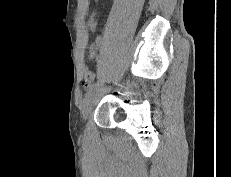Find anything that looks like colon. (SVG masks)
Listing matches in <instances>:
<instances>
[{"label":"colon","mask_w":231,"mask_h":177,"mask_svg":"<svg viewBox=\"0 0 231 177\" xmlns=\"http://www.w3.org/2000/svg\"><path fill=\"white\" fill-rule=\"evenodd\" d=\"M89 57H90V59H94L95 58V53L91 52Z\"/></svg>","instance_id":"obj_1"}]
</instances>
